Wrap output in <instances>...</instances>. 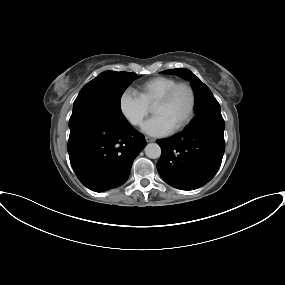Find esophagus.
I'll list each match as a JSON object with an SVG mask.
<instances>
[{"label":"esophagus","instance_id":"obj_1","mask_svg":"<svg viewBox=\"0 0 285 285\" xmlns=\"http://www.w3.org/2000/svg\"><path fill=\"white\" fill-rule=\"evenodd\" d=\"M145 139H146V141H147L148 143L155 141V139H153V138H151V137H148V136H146Z\"/></svg>","mask_w":285,"mask_h":285}]
</instances>
